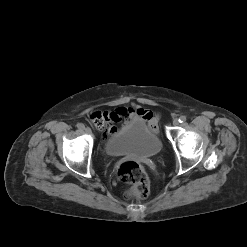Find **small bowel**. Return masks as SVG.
<instances>
[{
    "mask_svg": "<svg viewBox=\"0 0 247 247\" xmlns=\"http://www.w3.org/2000/svg\"><path fill=\"white\" fill-rule=\"evenodd\" d=\"M104 115L107 120L106 131L109 135H113L117 132L116 123L123 119H129L130 121L140 119L143 122H147L155 133H157L159 129L160 116L157 113L143 108L121 107L113 112L104 113Z\"/></svg>",
    "mask_w": 247,
    "mask_h": 247,
    "instance_id": "small-bowel-1",
    "label": "small bowel"
}]
</instances>
